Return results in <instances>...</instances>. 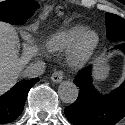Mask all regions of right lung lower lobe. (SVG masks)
<instances>
[{
	"label": "right lung lower lobe",
	"instance_id": "98d812e1",
	"mask_svg": "<svg viewBox=\"0 0 125 125\" xmlns=\"http://www.w3.org/2000/svg\"><path fill=\"white\" fill-rule=\"evenodd\" d=\"M37 81L38 78L22 80L0 96V124L14 121L22 113L28 92Z\"/></svg>",
	"mask_w": 125,
	"mask_h": 125
}]
</instances>
